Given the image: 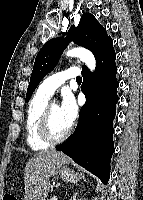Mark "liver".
Masks as SVG:
<instances>
[{"mask_svg": "<svg viewBox=\"0 0 143 200\" xmlns=\"http://www.w3.org/2000/svg\"><path fill=\"white\" fill-rule=\"evenodd\" d=\"M71 159L56 150L40 151L25 166V200H46L51 187L50 177Z\"/></svg>", "mask_w": 143, "mask_h": 200, "instance_id": "1", "label": "liver"}]
</instances>
